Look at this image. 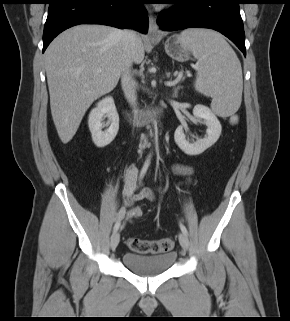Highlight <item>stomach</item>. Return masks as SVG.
Here are the masks:
<instances>
[{
  "label": "stomach",
  "mask_w": 290,
  "mask_h": 321,
  "mask_svg": "<svg viewBox=\"0 0 290 321\" xmlns=\"http://www.w3.org/2000/svg\"><path fill=\"white\" fill-rule=\"evenodd\" d=\"M165 51L169 57L178 62L188 61L192 54V51L180 42L179 35H173L167 39Z\"/></svg>",
  "instance_id": "0dacf381"
}]
</instances>
